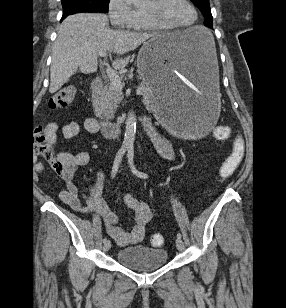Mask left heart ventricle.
<instances>
[{
  "label": "left heart ventricle",
  "mask_w": 286,
  "mask_h": 308,
  "mask_svg": "<svg viewBox=\"0 0 286 308\" xmlns=\"http://www.w3.org/2000/svg\"><path fill=\"white\" fill-rule=\"evenodd\" d=\"M144 12L159 15L170 23L178 25L189 24L195 17L185 0H164L163 3L151 0L144 8Z\"/></svg>",
  "instance_id": "1"
}]
</instances>
